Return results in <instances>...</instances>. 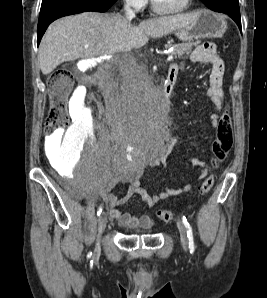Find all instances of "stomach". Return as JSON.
<instances>
[{
	"label": "stomach",
	"mask_w": 267,
	"mask_h": 298,
	"mask_svg": "<svg viewBox=\"0 0 267 298\" xmlns=\"http://www.w3.org/2000/svg\"><path fill=\"white\" fill-rule=\"evenodd\" d=\"M196 19L186 27L180 28L175 35L182 41L198 38H219L227 30V17L221 13L201 10L195 13Z\"/></svg>",
	"instance_id": "0dacf381"
}]
</instances>
